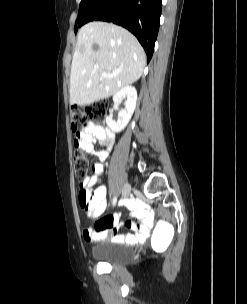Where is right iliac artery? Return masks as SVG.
<instances>
[{
  "label": "right iliac artery",
  "mask_w": 247,
  "mask_h": 304,
  "mask_svg": "<svg viewBox=\"0 0 247 304\" xmlns=\"http://www.w3.org/2000/svg\"><path fill=\"white\" fill-rule=\"evenodd\" d=\"M116 201H117V200H116V198H114V200H113V205H115V204H116Z\"/></svg>",
  "instance_id": "right-iliac-artery-1"
}]
</instances>
